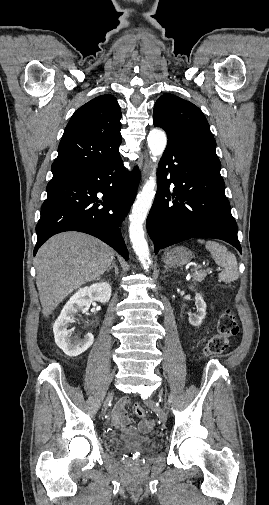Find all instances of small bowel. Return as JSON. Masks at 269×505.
<instances>
[{"label": "small bowel", "mask_w": 269, "mask_h": 505, "mask_svg": "<svg viewBox=\"0 0 269 505\" xmlns=\"http://www.w3.org/2000/svg\"><path fill=\"white\" fill-rule=\"evenodd\" d=\"M129 403L127 397L121 398L115 405L112 411L111 425L116 430H123L128 434H134L135 428L131 425L130 418L128 417L126 406ZM154 426V421L151 419H144L139 423L138 429L140 432H147Z\"/></svg>", "instance_id": "c3829d8e"}]
</instances>
